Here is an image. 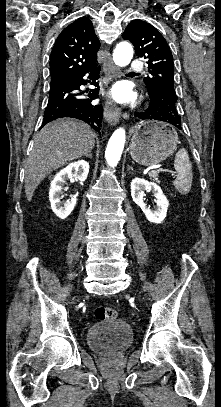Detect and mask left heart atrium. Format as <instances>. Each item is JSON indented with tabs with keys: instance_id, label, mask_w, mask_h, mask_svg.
I'll use <instances>...</instances> for the list:
<instances>
[{
	"instance_id": "1",
	"label": "left heart atrium",
	"mask_w": 221,
	"mask_h": 407,
	"mask_svg": "<svg viewBox=\"0 0 221 407\" xmlns=\"http://www.w3.org/2000/svg\"><path fill=\"white\" fill-rule=\"evenodd\" d=\"M110 95L119 102H128L134 97L133 92L125 82H119L114 85Z\"/></svg>"
}]
</instances>
